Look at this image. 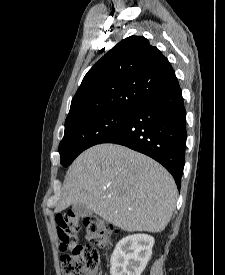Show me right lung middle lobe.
Listing matches in <instances>:
<instances>
[{
	"mask_svg": "<svg viewBox=\"0 0 225 275\" xmlns=\"http://www.w3.org/2000/svg\"><path fill=\"white\" fill-rule=\"evenodd\" d=\"M132 110L109 111L76 119L65 124L64 137L59 145L61 164L70 165L87 148L98 144L121 125Z\"/></svg>",
	"mask_w": 225,
	"mask_h": 275,
	"instance_id": "dd1d6c3e",
	"label": "right lung middle lobe"
}]
</instances>
